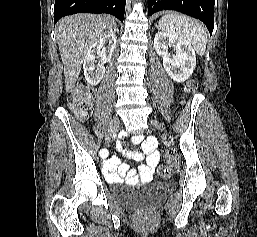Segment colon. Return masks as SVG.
I'll return each instance as SVG.
<instances>
[{
	"label": "colon",
	"instance_id": "colon-1",
	"mask_svg": "<svg viewBox=\"0 0 257 237\" xmlns=\"http://www.w3.org/2000/svg\"><path fill=\"white\" fill-rule=\"evenodd\" d=\"M196 88L197 83L195 81H190L186 86V91L193 92ZM92 97V89L84 81H80L70 97V108L77 116L84 117L91 108ZM177 164V154L174 151H168L166 154V163L158 170L159 176L163 178L169 177L177 167Z\"/></svg>",
	"mask_w": 257,
	"mask_h": 237
}]
</instances>
